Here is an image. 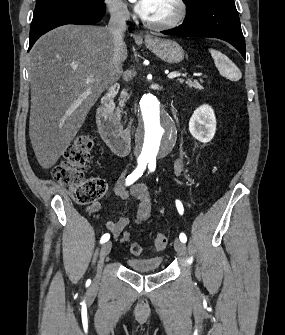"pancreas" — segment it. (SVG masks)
I'll return each mask as SVG.
<instances>
[{"label":"pancreas","mask_w":285,"mask_h":335,"mask_svg":"<svg viewBox=\"0 0 285 335\" xmlns=\"http://www.w3.org/2000/svg\"><path fill=\"white\" fill-rule=\"evenodd\" d=\"M179 82H181V84H183V82H185V80H182V78H179ZM185 84H187V86H189V88H196V90H203L201 84H199V82H192V80H186ZM125 94L122 98V100H120V104L118 106V108H116L115 110V116H117V118H119L120 116V112H122V108L123 106H125L124 102H125Z\"/></svg>","instance_id":"pancreas-1"}]
</instances>
